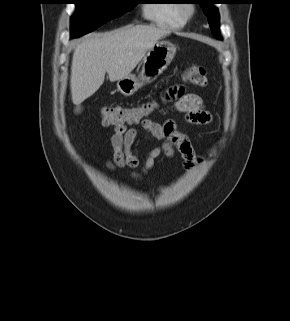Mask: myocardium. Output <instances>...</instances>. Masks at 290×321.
Returning <instances> with one entry per match:
<instances>
[{
  "mask_svg": "<svg viewBox=\"0 0 290 321\" xmlns=\"http://www.w3.org/2000/svg\"><path fill=\"white\" fill-rule=\"evenodd\" d=\"M195 11H196V9L193 4H183L180 7V12L186 20L193 17V15L195 14Z\"/></svg>",
  "mask_w": 290,
  "mask_h": 321,
  "instance_id": "myocardium-1",
  "label": "myocardium"
}]
</instances>
